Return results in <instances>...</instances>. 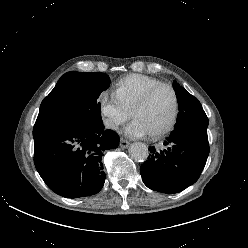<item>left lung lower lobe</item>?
<instances>
[{
	"mask_svg": "<svg viewBox=\"0 0 248 248\" xmlns=\"http://www.w3.org/2000/svg\"><path fill=\"white\" fill-rule=\"evenodd\" d=\"M164 149L149 147L150 155L141 165L144 184L158 192L178 193L194 184L207 161V128L182 127L171 132Z\"/></svg>",
	"mask_w": 248,
	"mask_h": 248,
	"instance_id": "0a47b994",
	"label": "left lung lower lobe"
}]
</instances>
